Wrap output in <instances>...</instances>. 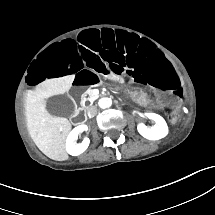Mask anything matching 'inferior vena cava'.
Masks as SVG:
<instances>
[{"mask_svg":"<svg viewBox=\"0 0 215 215\" xmlns=\"http://www.w3.org/2000/svg\"><path fill=\"white\" fill-rule=\"evenodd\" d=\"M97 107L96 106H89L87 108V114L89 117H94L97 114Z\"/></svg>","mask_w":215,"mask_h":215,"instance_id":"1","label":"inferior vena cava"}]
</instances>
